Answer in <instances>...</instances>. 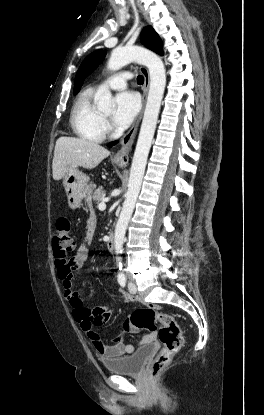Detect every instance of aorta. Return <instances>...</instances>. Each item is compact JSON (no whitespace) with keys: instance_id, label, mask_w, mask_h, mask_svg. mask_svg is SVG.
<instances>
[{"instance_id":"obj_1","label":"aorta","mask_w":264,"mask_h":415,"mask_svg":"<svg viewBox=\"0 0 264 415\" xmlns=\"http://www.w3.org/2000/svg\"><path fill=\"white\" fill-rule=\"evenodd\" d=\"M130 62H137L145 65L149 70L150 87L144 112V117L134 152L128 190L122 210L115 227L114 248L116 255L122 253L125 241V233L132 216L135 204L141 189V184L147 164L148 154L156 129L161 101L166 85V74L162 60L158 55L139 46H126L115 48L108 60L107 68L116 71ZM95 102L99 110L112 111L114 100L108 89L100 90L95 95ZM122 258L116 257L118 266H122Z\"/></svg>"}]
</instances>
